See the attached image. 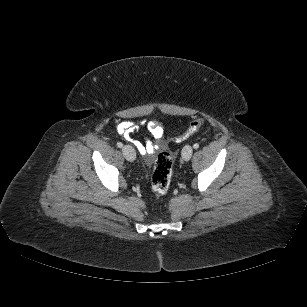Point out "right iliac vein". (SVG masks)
Here are the masks:
<instances>
[{
    "mask_svg": "<svg viewBox=\"0 0 307 307\" xmlns=\"http://www.w3.org/2000/svg\"><path fill=\"white\" fill-rule=\"evenodd\" d=\"M122 153H123L124 157L130 162H133L136 158V153H135L134 149L129 145L123 146Z\"/></svg>",
    "mask_w": 307,
    "mask_h": 307,
    "instance_id": "right-iliac-vein-1",
    "label": "right iliac vein"
}]
</instances>
